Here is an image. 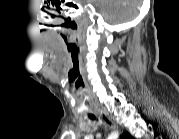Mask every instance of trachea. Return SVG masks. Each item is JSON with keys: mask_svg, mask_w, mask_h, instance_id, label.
<instances>
[{"mask_svg": "<svg viewBox=\"0 0 179 139\" xmlns=\"http://www.w3.org/2000/svg\"><path fill=\"white\" fill-rule=\"evenodd\" d=\"M88 116H89L90 119H93V120L96 119L93 114H88Z\"/></svg>", "mask_w": 179, "mask_h": 139, "instance_id": "trachea-1", "label": "trachea"}]
</instances>
